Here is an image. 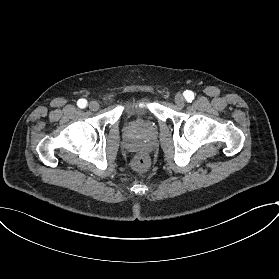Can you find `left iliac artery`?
Returning <instances> with one entry per match:
<instances>
[{
    "label": "left iliac artery",
    "mask_w": 279,
    "mask_h": 279,
    "mask_svg": "<svg viewBox=\"0 0 279 279\" xmlns=\"http://www.w3.org/2000/svg\"><path fill=\"white\" fill-rule=\"evenodd\" d=\"M185 99L188 101V102H192V100L194 99V93L192 91H189V90H186L184 93H183Z\"/></svg>",
    "instance_id": "obj_1"
}]
</instances>
